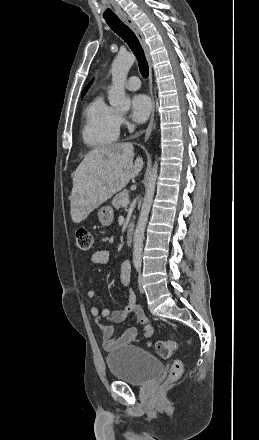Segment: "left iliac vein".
Here are the masks:
<instances>
[{
    "mask_svg": "<svg viewBox=\"0 0 259 440\" xmlns=\"http://www.w3.org/2000/svg\"><path fill=\"white\" fill-rule=\"evenodd\" d=\"M138 287H139V291L141 293H144L143 280H142L141 274H139V277H138Z\"/></svg>",
    "mask_w": 259,
    "mask_h": 440,
    "instance_id": "4c4485c4",
    "label": "left iliac vein"
}]
</instances>
